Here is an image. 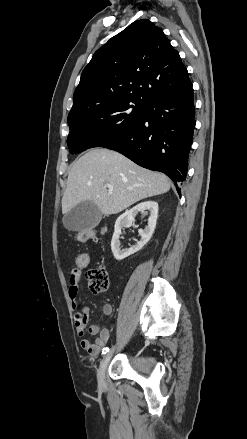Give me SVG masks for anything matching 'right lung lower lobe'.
Segmentation results:
<instances>
[{"label":"right lung lower lobe","mask_w":247,"mask_h":439,"mask_svg":"<svg viewBox=\"0 0 247 439\" xmlns=\"http://www.w3.org/2000/svg\"><path fill=\"white\" fill-rule=\"evenodd\" d=\"M193 88L162 95L146 106L141 121L106 148L136 164L168 175L177 187L187 174L195 128Z\"/></svg>","instance_id":"1"}]
</instances>
